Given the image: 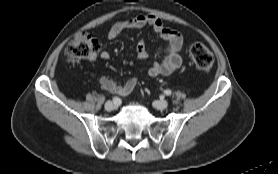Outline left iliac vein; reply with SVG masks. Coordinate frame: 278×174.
Returning <instances> with one entry per match:
<instances>
[{
    "mask_svg": "<svg viewBox=\"0 0 278 174\" xmlns=\"http://www.w3.org/2000/svg\"><path fill=\"white\" fill-rule=\"evenodd\" d=\"M154 107L158 110H164L168 106V102L166 100H159L153 103Z\"/></svg>",
    "mask_w": 278,
    "mask_h": 174,
    "instance_id": "left-iliac-vein-1",
    "label": "left iliac vein"
}]
</instances>
